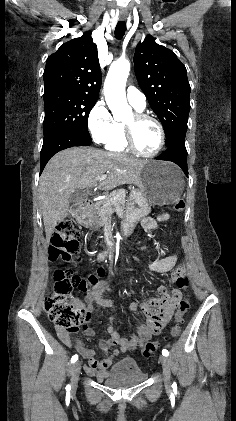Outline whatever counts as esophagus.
<instances>
[{"label": "esophagus", "instance_id": "1", "mask_svg": "<svg viewBox=\"0 0 236 421\" xmlns=\"http://www.w3.org/2000/svg\"><path fill=\"white\" fill-rule=\"evenodd\" d=\"M120 20H126V18H127V16H125V15H120Z\"/></svg>", "mask_w": 236, "mask_h": 421}]
</instances>
